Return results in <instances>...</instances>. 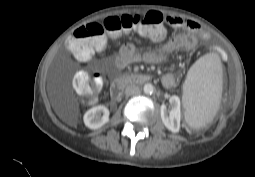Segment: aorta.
<instances>
[{
    "mask_svg": "<svg viewBox=\"0 0 255 177\" xmlns=\"http://www.w3.org/2000/svg\"><path fill=\"white\" fill-rule=\"evenodd\" d=\"M143 91L145 94H152L154 92V86L151 83H146L143 86Z\"/></svg>",
    "mask_w": 255,
    "mask_h": 177,
    "instance_id": "1",
    "label": "aorta"
}]
</instances>
